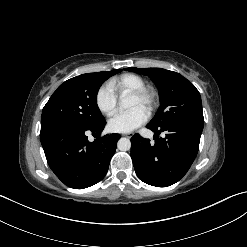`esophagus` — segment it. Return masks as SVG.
<instances>
[{
    "mask_svg": "<svg viewBox=\"0 0 247 247\" xmlns=\"http://www.w3.org/2000/svg\"><path fill=\"white\" fill-rule=\"evenodd\" d=\"M123 136L128 137V138H131L132 137L131 134H123Z\"/></svg>",
    "mask_w": 247,
    "mask_h": 247,
    "instance_id": "1",
    "label": "esophagus"
}]
</instances>
